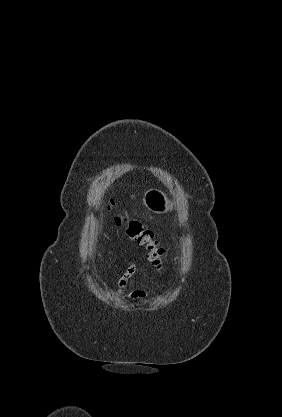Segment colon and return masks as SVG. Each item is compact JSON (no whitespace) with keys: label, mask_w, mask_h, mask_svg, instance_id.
Instances as JSON below:
<instances>
[{"label":"colon","mask_w":282,"mask_h":417,"mask_svg":"<svg viewBox=\"0 0 282 417\" xmlns=\"http://www.w3.org/2000/svg\"><path fill=\"white\" fill-rule=\"evenodd\" d=\"M105 207L113 214L117 225L126 230L129 237L147 248L152 264L157 268H162L165 262L164 249L155 239L152 230L145 227L139 220L128 219L123 212L116 210L113 200H107Z\"/></svg>","instance_id":"obj_1"}]
</instances>
